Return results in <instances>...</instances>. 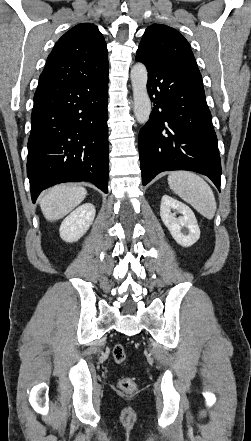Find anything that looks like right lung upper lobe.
I'll return each mask as SVG.
<instances>
[{
	"instance_id": "1",
	"label": "right lung upper lobe",
	"mask_w": 251,
	"mask_h": 441,
	"mask_svg": "<svg viewBox=\"0 0 251 441\" xmlns=\"http://www.w3.org/2000/svg\"><path fill=\"white\" fill-rule=\"evenodd\" d=\"M103 35L90 23H81L66 32L47 58L39 81L79 79L108 69Z\"/></svg>"
}]
</instances>
